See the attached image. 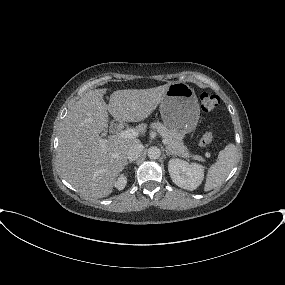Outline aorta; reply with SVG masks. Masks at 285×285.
Instances as JSON below:
<instances>
[{
	"label": "aorta",
	"mask_w": 285,
	"mask_h": 285,
	"mask_svg": "<svg viewBox=\"0 0 285 285\" xmlns=\"http://www.w3.org/2000/svg\"><path fill=\"white\" fill-rule=\"evenodd\" d=\"M147 154L150 159L155 160L161 156V150L158 147L153 146L148 149Z\"/></svg>",
	"instance_id": "aorta-1"
}]
</instances>
